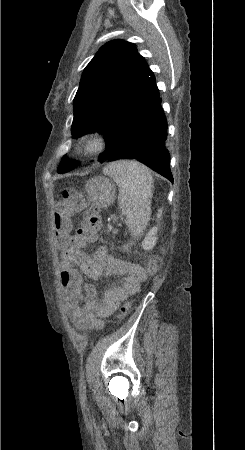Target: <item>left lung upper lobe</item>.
I'll return each mask as SVG.
<instances>
[{
  "instance_id": "obj_1",
  "label": "left lung upper lobe",
  "mask_w": 245,
  "mask_h": 450,
  "mask_svg": "<svg viewBox=\"0 0 245 450\" xmlns=\"http://www.w3.org/2000/svg\"><path fill=\"white\" fill-rule=\"evenodd\" d=\"M159 96L153 72L136 47L113 40L103 45L83 71L74 98L73 138L93 130L105 135L106 151H120L146 109ZM78 165L64 156L58 173Z\"/></svg>"
}]
</instances>
